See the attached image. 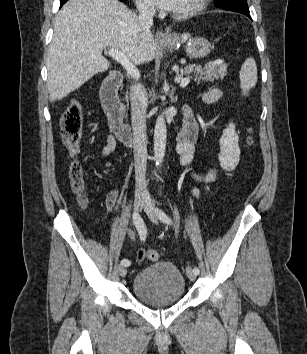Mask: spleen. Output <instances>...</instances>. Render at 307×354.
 Wrapping results in <instances>:
<instances>
[{"label": "spleen", "instance_id": "obj_1", "mask_svg": "<svg viewBox=\"0 0 307 354\" xmlns=\"http://www.w3.org/2000/svg\"><path fill=\"white\" fill-rule=\"evenodd\" d=\"M240 87L243 95H248L257 82V66L253 58H247L240 70Z\"/></svg>", "mask_w": 307, "mask_h": 354}]
</instances>
